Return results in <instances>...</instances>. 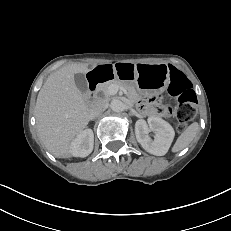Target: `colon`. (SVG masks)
I'll list each match as a JSON object with an SVG mask.
<instances>
[{
	"instance_id": "1",
	"label": "colon",
	"mask_w": 231,
	"mask_h": 231,
	"mask_svg": "<svg viewBox=\"0 0 231 231\" xmlns=\"http://www.w3.org/2000/svg\"><path fill=\"white\" fill-rule=\"evenodd\" d=\"M169 92L177 99L175 108L177 129L183 131L195 116L196 94L190 81L178 70L173 72Z\"/></svg>"
}]
</instances>
